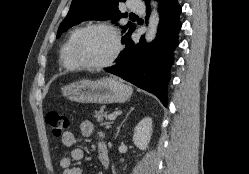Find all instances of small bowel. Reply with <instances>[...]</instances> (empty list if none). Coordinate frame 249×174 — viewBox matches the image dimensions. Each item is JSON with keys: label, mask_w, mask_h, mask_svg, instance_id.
Masks as SVG:
<instances>
[{"label": "small bowel", "mask_w": 249, "mask_h": 174, "mask_svg": "<svg viewBox=\"0 0 249 174\" xmlns=\"http://www.w3.org/2000/svg\"><path fill=\"white\" fill-rule=\"evenodd\" d=\"M80 130L83 136L91 137L94 135V125L91 121L85 120L80 125ZM98 161L104 169L110 165L109 153L106 145L103 142V135L98 133ZM61 141L66 147H73L77 140L72 132L65 133ZM85 157V151L80 147L72 149L69 156H62L59 160V165L63 169V174H84L83 169L80 167H72V161H80Z\"/></svg>", "instance_id": "c3829d8e"}]
</instances>
